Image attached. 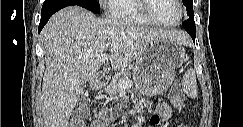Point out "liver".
<instances>
[{
	"label": "liver",
	"mask_w": 243,
	"mask_h": 127,
	"mask_svg": "<svg viewBox=\"0 0 243 127\" xmlns=\"http://www.w3.org/2000/svg\"><path fill=\"white\" fill-rule=\"evenodd\" d=\"M159 38L189 43L182 31L148 29L116 18H98L79 6L54 14L41 33L46 64L41 93L45 127H67L82 85L97 75L102 53L109 51L111 67L122 70Z\"/></svg>",
	"instance_id": "liver-1"
}]
</instances>
